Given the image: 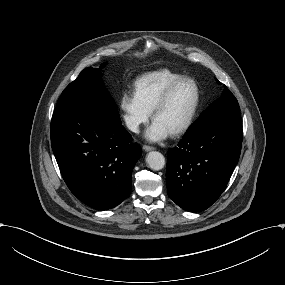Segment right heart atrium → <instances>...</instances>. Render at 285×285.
<instances>
[{
    "instance_id": "1",
    "label": "right heart atrium",
    "mask_w": 285,
    "mask_h": 285,
    "mask_svg": "<svg viewBox=\"0 0 285 285\" xmlns=\"http://www.w3.org/2000/svg\"><path fill=\"white\" fill-rule=\"evenodd\" d=\"M120 109L124 114L125 122L132 130H138L146 124L151 111L138 97L135 87H129L120 97Z\"/></svg>"
}]
</instances>
